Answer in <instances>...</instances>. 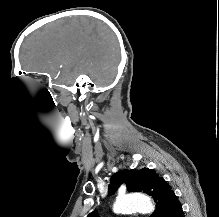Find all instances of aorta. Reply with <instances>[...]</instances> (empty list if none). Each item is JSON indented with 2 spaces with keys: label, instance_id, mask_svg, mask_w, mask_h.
I'll list each match as a JSON object with an SVG mask.
<instances>
[{
  "label": "aorta",
  "instance_id": "1",
  "mask_svg": "<svg viewBox=\"0 0 219 217\" xmlns=\"http://www.w3.org/2000/svg\"><path fill=\"white\" fill-rule=\"evenodd\" d=\"M154 205L148 196L135 194L118 197L113 205L115 213L152 212Z\"/></svg>",
  "mask_w": 219,
  "mask_h": 217
}]
</instances>
